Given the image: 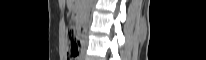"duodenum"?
<instances>
[{
  "label": "duodenum",
  "mask_w": 206,
  "mask_h": 60,
  "mask_svg": "<svg viewBox=\"0 0 206 60\" xmlns=\"http://www.w3.org/2000/svg\"><path fill=\"white\" fill-rule=\"evenodd\" d=\"M80 33L82 36L85 35V29L82 26H80Z\"/></svg>",
  "instance_id": "1"
}]
</instances>
